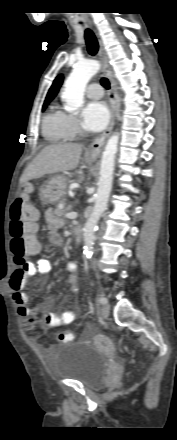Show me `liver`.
I'll return each mask as SVG.
<instances>
[{
	"instance_id": "liver-1",
	"label": "liver",
	"mask_w": 177,
	"mask_h": 440,
	"mask_svg": "<svg viewBox=\"0 0 177 440\" xmlns=\"http://www.w3.org/2000/svg\"><path fill=\"white\" fill-rule=\"evenodd\" d=\"M83 146L74 143H62L45 147L27 166L20 183L38 179L46 174L74 170L80 161Z\"/></svg>"
}]
</instances>
